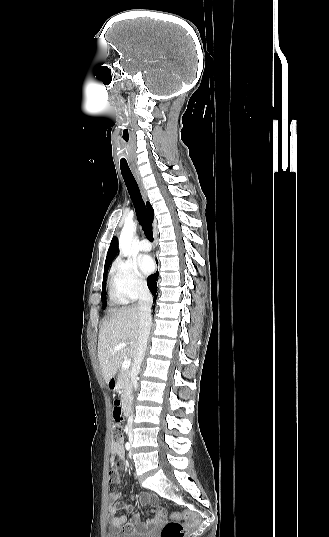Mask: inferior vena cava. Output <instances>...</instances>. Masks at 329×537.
Masks as SVG:
<instances>
[{"mask_svg": "<svg viewBox=\"0 0 329 537\" xmlns=\"http://www.w3.org/2000/svg\"><path fill=\"white\" fill-rule=\"evenodd\" d=\"M153 303V297L147 286L140 288L138 312H139V341L137 352L134 357L132 367V383L135 389H137V375L140 371L142 361L145 356L148 337L151 330V306ZM133 424V416L128 418V427L131 428Z\"/></svg>", "mask_w": 329, "mask_h": 537, "instance_id": "inferior-vena-cava-1", "label": "inferior vena cava"}]
</instances>
